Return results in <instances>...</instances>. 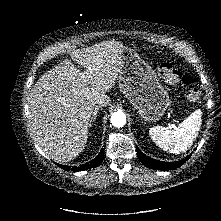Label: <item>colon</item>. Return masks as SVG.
<instances>
[{
  "mask_svg": "<svg viewBox=\"0 0 221 221\" xmlns=\"http://www.w3.org/2000/svg\"><path fill=\"white\" fill-rule=\"evenodd\" d=\"M157 71L164 81L184 86L186 88V98L189 102L197 103L200 101L201 92L191 75L180 72L171 63L167 62L161 63Z\"/></svg>",
  "mask_w": 221,
  "mask_h": 221,
  "instance_id": "colon-1",
  "label": "colon"
}]
</instances>
